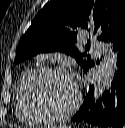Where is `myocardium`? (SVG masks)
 <instances>
[{
	"instance_id": "1",
	"label": "myocardium",
	"mask_w": 125,
	"mask_h": 128,
	"mask_svg": "<svg viewBox=\"0 0 125 128\" xmlns=\"http://www.w3.org/2000/svg\"><path fill=\"white\" fill-rule=\"evenodd\" d=\"M60 74L72 79L76 87V97L73 104L63 112L51 113L42 108L34 96V87L36 83L44 76ZM25 97L31 111L42 121L54 123L62 121L76 112L81 102V90L73 80L71 74L59 66H43L32 71L25 84Z\"/></svg>"
}]
</instances>
